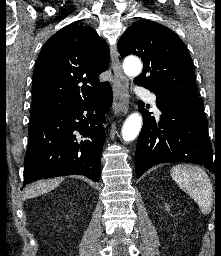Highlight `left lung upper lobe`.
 Returning <instances> with one entry per match:
<instances>
[{
    "mask_svg": "<svg viewBox=\"0 0 221 256\" xmlns=\"http://www.w3.org/2000/svg\"><path fill=\"white\" fill-rule=\"evenodd\" d=\"M122 57L135 54L143 61V72L135 84L154 94L199 98L190 54L179 36L159 23H133L118 42Z\"/></svg>",
    "mask_w": 221,
    "mask_h": 256,
    "instance_id": "obj_1",
    "label": "left lung upper lobe"
}]
</instances>
